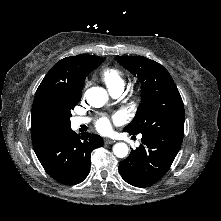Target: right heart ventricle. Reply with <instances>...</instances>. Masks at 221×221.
I'll list each match as a JSON object with an SVG mask.
<instances>
[{
  "label": "right heart ventricle",
  "instance_id": "right-heart-ventricle-1",
  "mask_svg": "<svg viewBox=\"0 0 221 221\" xmlns=\"http://www.w3.org/2000/svg\"><path fill=\"white\" fill-rule=\"evenodd\" d=\"M100 76L107 86L108 90L125 86V78L123 72L115 67H108L101 71Z\"/></svg>",
  "mask_w": 221,
  "mask_h": 221
}]
</instances>
